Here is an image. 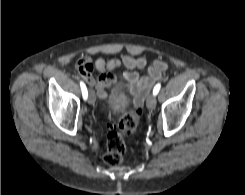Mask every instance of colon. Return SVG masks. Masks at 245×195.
I'll use <instances>...</instances> for the list:
<instances>
[{"instance_id":"5ec220e1","label":"colon","mask_w":245,"mask_h":195,"mask_svg":"<svg viewBox=\"0 0 245 195\" xmlns=\"http://www.w3.org/2000/svg\"><path fill=\"white\" fill-rule=\"evenodd\" d=\"M140 120L141 110L137 109L108 122L110 131L107 135L106 151L103 155L106 164L116 166L122 162L125 153V139L135 132Z\"/></svg>"}]
</instances>
